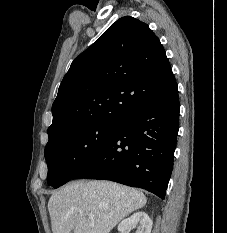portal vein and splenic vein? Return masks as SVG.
Listing matches in <instances>:
<instances>
[{"instance_id": "portal-vein-and-splenic-vein-1", "label": "portal vein and splenic vein", "mask_w": 227, "mask_h": 233, "mask_svg": "<svg viewBox=\"0 0 227 233\" xmlns=\"http://www.w3.org/2000/svg\"><path fill=\"white\" fill-rule=\"evenodd\" d=\"M88 218L91 220V221H93L94 220V215L93 214H88Z\"/></svg>"}]
</instances>
